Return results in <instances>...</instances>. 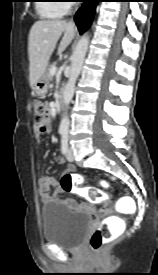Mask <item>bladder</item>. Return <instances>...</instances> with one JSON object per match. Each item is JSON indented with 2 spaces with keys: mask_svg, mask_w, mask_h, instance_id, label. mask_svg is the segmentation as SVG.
I'll list each match as a JSON object with an SVG mask.
<instances>
[{
  "mask_svg": "<svg viewBox=\"0 0 158 275\" xmlns=\"http://www.w3.org/2000/svg\"><path fill=\"white\" fill-rule=\"evenodd\" d=\"M90 223L87 214L69 210L58 203L46 204L42 208L43 238L62 249H76Z\"/></svg>",
  "mask_w": 158,
  "mask_h": 275,
  "instance_id": "31cf9c89",
  "label": "bladder"
}]
</instances>
